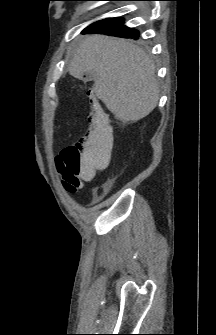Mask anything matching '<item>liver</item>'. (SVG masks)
Here are the masks:
<instances>
[{"instance_id": "obj_1", "label": "liver", "mask_w": 216, "mask_h": 335, "mask_svg": "<svg viewBox=\"0 0 216 335\" xmlns=\"http://www.w3.org/2000/svg\"><path fill=\"white\" fill-rule=\"evenodd\" d=\"M69 73L80 79L94 74V92L114 117L136 122L157 106L159 85L151 57L124 39L86 36L69 64Z\"/></svg>"}]
</instances>
